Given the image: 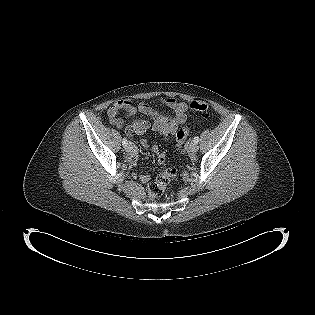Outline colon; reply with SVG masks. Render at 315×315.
Instances as JSON below:
<instances>
[{"mask_svg": "<svg viewBox=\"0 0 315 315\" xmlns=\"http://www.w3.org/2000/svg\"><path fill=\"white\" fill-rule=\"evenodd\" d=\"M190 109L195 113H201L206 115L209 110V106L206 102L201 100H196L190 103ZM130 128V127H129ZM189 134V128L187 126L179 129L176 132V142L177 148L182 150L183 144L185 143ZM177 176V171L174 168H169L164 172L158 174L155 181L150 183L149 185V193L154 197L161 196L170 182V180L174 179Z\"/></svg>", "mask_w": 315, "mask_h": 315, "instance_id": "5ec220e1", "label": "colon"}]
</instances>
